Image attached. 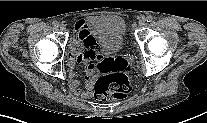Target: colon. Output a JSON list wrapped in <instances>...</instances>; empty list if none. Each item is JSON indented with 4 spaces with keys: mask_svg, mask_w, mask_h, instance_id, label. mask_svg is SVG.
Listing matches in <instances>:
<instances>
[{
    "mask_svg": "<svg viewBox=\"0 0 207 123\" xmlns=\"http://www.w3.org/2000/svg\"><path fill=\"white\" fill-rule=\"evenodd\" d=\"M96 69L100 75L94 83L93 91L99 100L127 97L137 78L133 66L124 57L99 59Z\"/></svg>",
    "mask_w": 207,
    "mask_h": 123,
    "instance_id": "obj_1",
    "label": "colon"
}]
</instances>
